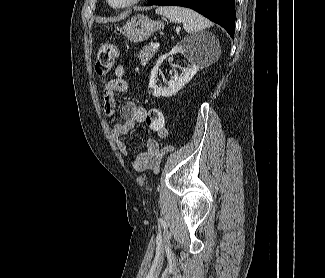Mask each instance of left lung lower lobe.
<instances>
[{
	"mask_svg": "<svg viewBox=\"0 0 325 278\" xmlns=\"http://www.w3.org/2000/svg\"><path fill=\"white\" fill-rule=\"evenodd\" d=\"M191 8L221 25L234 38L235 0H149L146 4Z\"/></svg>",
	"mask_w": 325,
	"mask_h": 278,
	"instance_id": "obj_1",
	"label": "left lung lower lobe"
}]
</instances>
